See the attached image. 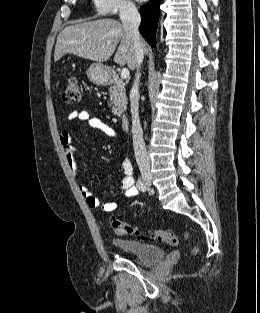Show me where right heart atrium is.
<instances>
[{
  "instance_id": "d8ad5b80",
  "label": "right heart atrium",
  "mask_w": 260,
  "mask_h": 313,
  "mask_svg": "<svg viewBox=\"0 0 260 313\" xmlns=\"http://www.w3.org/2000/svg\"><path fill=\"white\" fill-rule=\"evenodd\" d=\"M92 4L99 15L131 14L136 9L131 0H92Z\"/></svg>"
}]
</instances>
